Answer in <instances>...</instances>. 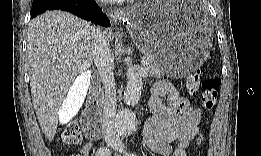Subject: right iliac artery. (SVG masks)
Returning <instances> with one entry per match:
<instances>
[{"mask_svg": "<svg viewBox=\"0 0 261 156\" xmlns=\"http://www.w3.org/2000/svg\"><path fill=\"white\" fill-rule=\"evenodd\" d=\"M97 156H108L110 155L109 149L105 148V147H100L97 152H96Z\"/></svg>", "mask_w": 261, "mask_h": 156, "instance_id": "right-iliac-artery-1", "label": "right iliac artery"}]
</instances>
